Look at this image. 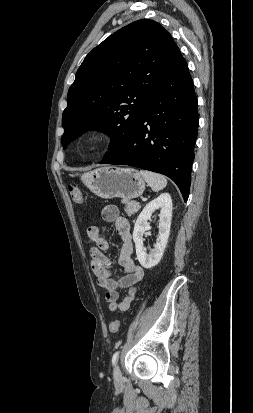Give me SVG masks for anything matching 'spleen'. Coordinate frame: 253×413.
<instances>
[{"label":"spleen","instance_id":"1","mask_svg":"<svg viewBox=\"0 0 253 413\" xmlns=\"http://www.w3.org/2000/svg\"><path fill=\"white\" fill-rule=\"evenodd\" d=\"M140 175L155 192L162 190L167 185L166 178L161 174L147 170H140Z\"/></svg>","mask_w":253,"mask_h":413}]
</instances>
